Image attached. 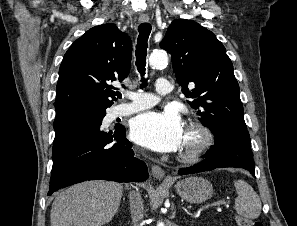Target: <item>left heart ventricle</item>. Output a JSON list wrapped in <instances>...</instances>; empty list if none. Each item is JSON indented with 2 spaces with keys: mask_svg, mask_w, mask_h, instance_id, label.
<instances>
[{
  "mask_svg": "<svg viewBox=\"0 0 297 226\" xmlns=\"http://www.w3.org/2000/svg\"><path fill=\"white\" fill-rule=\"evenodd\" d=\"M195 135L189 131H185V138H184V145H183V149L188 148L190 145L193 144V142L195 141Z\"/></svg>",
  "mask_w": 297,
  "mask_h": 226,
  "instance_id": "left-heart-ventricle-1",
  "label": "left heart ventricle"
}]
</instances>
